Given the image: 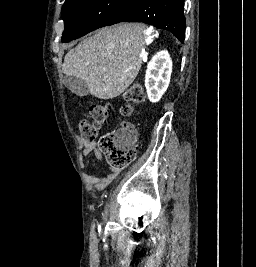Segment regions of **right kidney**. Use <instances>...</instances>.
<instances>
[{"label":"right kidney","mask_w":256,"mask_h":267,"mask_svg":"<svg viewBox=\"0 0 256 267\" xmlns=\"http://www.w3.org/2000/svg\"><path fill=\"white\" fill-rule=\"evenodd\" d=\"M172 72V60L166 52H157L149 62L145 74V88L150 102H159L165 94Z\"/></svg>","instance_id":"ca27d5eb"}]
</instances>
